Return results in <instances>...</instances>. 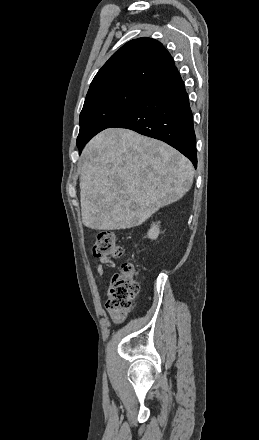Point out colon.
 <instances>
[{"mask_svg":"<svg viewBox=\"0 0 259 440\" xmlns=\"http://www.w3.org/2000/svg\"><path fill=\"white\" fill-rule=\"evenodd\" d=\"M92 252L98 258H118L121 257L123 250L113 233L101 231L95 236ZM137 276L138 271L134 265L125 262L120 271L111 278L106 307L112 319L117 323L126 318L131 308V302L138 294Z\"/></svg>","mask_w":259,"mask_h":440,"instance_id":"5ec220e1","label":"colon"}]
</instances>
